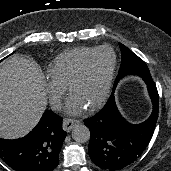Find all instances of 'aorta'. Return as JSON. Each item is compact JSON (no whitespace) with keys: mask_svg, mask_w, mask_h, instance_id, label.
Returning <instances> with one entry per match:
<instances>
[{"mask_svg":"<svg viewBox=\"0 0 171 171\" xmlns=\"http://www.w3.org/2000/svg\"><path fill=\"white\" fill-rule=\"evenodd\" d=\"M72 138L78 143H85L90 139V130L87 126L77 124L72 130Z\"/></svg>","mask_w":171,"mask_h":171,"instance_id":"obj_1","label":"aorta"}]
</instances>
